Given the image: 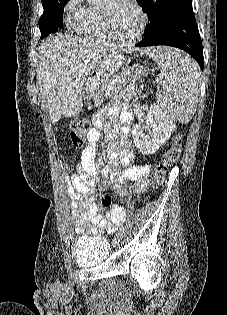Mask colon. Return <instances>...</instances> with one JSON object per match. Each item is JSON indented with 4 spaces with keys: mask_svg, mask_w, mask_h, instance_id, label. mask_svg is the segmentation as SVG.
I'll use <instances>...</instances> for the list:
<instances>
[{
    "mask_svg": "<svg viewBox=\"0 0 227 315\" xmlns=\"http://www.w3.org/2000/svg\"><path fill=\"white\" fill-rule=\"evenodd\" d=\"M89 125L84 120H74L69 130V138L74 147L83 146L89 134ZM181 138L174 135L171 139L169 148L164 152L160 163L156 166L153 179L155 187L159 186L166 176L167 170L178 160L180 155ZM100 202L104 207H114L112 195L105 189L101 192Z\"/></svg>",
    "mask_w": 227,
    "mask_h": 315,
    "instance_id": "1",
    "label": "colon"
}]
</instances>
